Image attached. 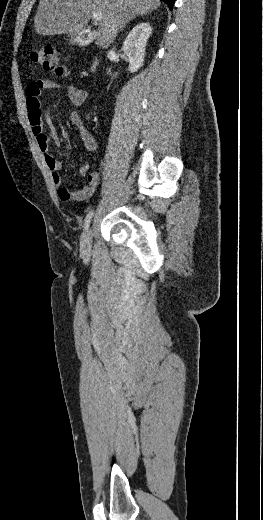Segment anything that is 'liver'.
Masks as SVG:
<instances>
[{
	"label": "liver",
	"mask_w": 263,
	"mask_h": 520,
	"mask_svg": "<svg viewBox=\"0 0 263 520\" xmlns=\"http://www.w3.org/2000/svg\"><path fill=\"white\" fill-rule=\"evenodd\" d=\"M160 0H40L35 31L44 36L78 34L94 12H100L98 44L108 47L118 30L138 15L156 10Z\"/></svg>",
	"instance_id": "6515ba94"
}]
</instances>
